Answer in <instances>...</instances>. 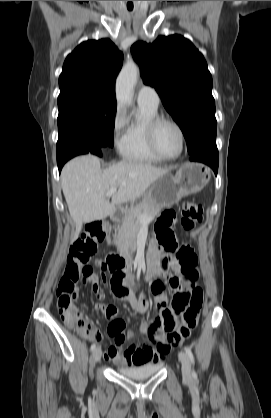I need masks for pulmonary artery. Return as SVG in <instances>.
I'll use <instances>...</instances> for the list:
<instances>
[{
  "label": "pulmonary artery",
  "instance_id": "obj_1",
  "mask_svg": "<svg viewBox=\"0 0 271 418\" xmlns=\"http://www.w3.org/2000/svg\"><path fill=\"white\" fill-rule=\"evenodd\" d=\"M137 101L138 104H145L154 108H158L160 97L153 87L142 86L138 91Z\"/></svg>",
  "mask_w": 271,
  "mask_h": 418
}]
</instances>
